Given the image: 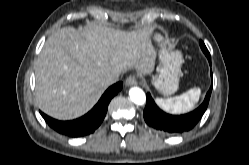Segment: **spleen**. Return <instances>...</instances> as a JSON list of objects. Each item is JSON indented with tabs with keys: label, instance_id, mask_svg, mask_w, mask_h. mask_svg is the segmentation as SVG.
I'll return each instance as SVG.
<instances>
[{
	"label": "spleen",
	"instance_id": "spleen-1",
	"mask_svg": "<svg viewBox=\"0 0 249 165\" xmlns=\"http://www.w3.org/2000/svg\"><path fill=\"white\" fill-rule=\"evenodd\" d=\"M201 94L200 88H192L189 91L174 98H157L156 103L165 111L173 114L190 111L198 102Z\"/></svg>",
	"mask_w": 249,
	"mask_h": 165
}]
</instances>
